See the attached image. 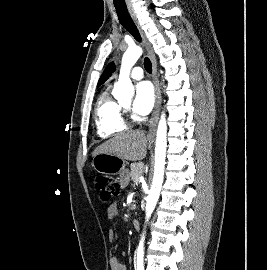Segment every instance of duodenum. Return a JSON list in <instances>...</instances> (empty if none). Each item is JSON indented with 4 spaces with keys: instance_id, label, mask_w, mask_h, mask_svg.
I'll return each mask as SVG.
<instances>
[{
    "instance_id": "1",
    "label": "duodenum",
    "mask_w": 267,
    "mask_h": 270,
    "mask_svg": "<svg viewBox=\"0 0 267 270\" xmlns=\"http://www.w3.org/2000/svg\"><path fill=\"white\" fill-rule=\"evenodd\" d=\"M132 225H133L134 229L138 230L140 228V221L138 219H133Z\"/></svg>"
}]
</instances>
